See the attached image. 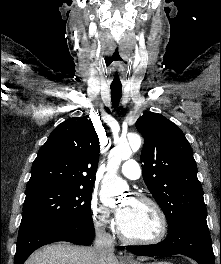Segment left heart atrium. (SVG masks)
<instances>
[{"label":"left heart atrium","instance_id":"left-heart-atrium-1","mask_svg":"<svg viewBox=\"0 0 221 264\" xmlns=\"http://www.w3.org/2000/svg\"><path fill=\"white\" fill-rule=\"evenodd\" d=\"M128 212H129L128 207L125 206L117 210L116 215L119 224H121L126 219V217L128 216Z\"/></svg>","mask_w":221,"mask_h":264}]
</instances>
